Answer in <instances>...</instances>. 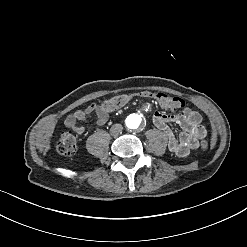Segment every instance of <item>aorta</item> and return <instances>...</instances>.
I'll return each mask as SVG.
<instances>
[{
    "instance_id": "aorta-1",
    "label": "aorta",
    "mask_w": 247,
    "mask_h": 247,
    "mask_svg": "<svg viewBox=\"0 0 247 247\" xmlns=\"http://www.w3.org/2000/svg\"><path fill=\"white\" fill-rule=\"evenodd\" d=\"M141 123V117L137 114H134V115H130L128 118H127V126L128 128L130 129H136L139 127Z\"/></svg>"
}]
</instances>
